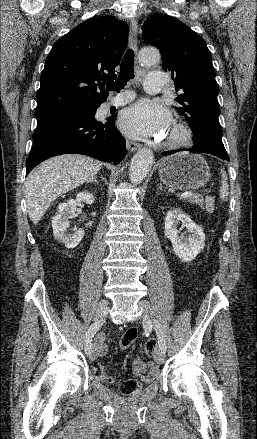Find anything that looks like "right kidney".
<instances>
[{
  "instance_id": "ca27d5eb",
  "label": "right kidney",
  "mask_w": 257,
  "mask_h": 439,
  "mask_svg": "<svg viewBox=\"0 0 257 439\" xmlns=\"http://www.w3.org/2000/svg\"><path fill=\"white\" fill-rule=\"evenodd\" d=\"M84 202L92 204L94 196L90 192H80L76 199H70L67 202L61 203L58 206V213L52 218L53 233L56 238L61 239L67 248H75L84 236V230L75 228L74 233L70 234L68 228L70 227L71 215L77 210V202Z\"/></svg>"
}]
</instances>
